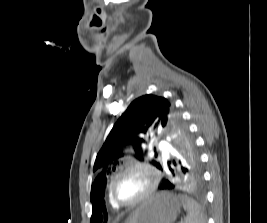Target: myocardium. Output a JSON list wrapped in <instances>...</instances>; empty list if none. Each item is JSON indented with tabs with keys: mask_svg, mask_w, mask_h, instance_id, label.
Wrapping results in <instances>:
<instances>
[{
	"mask_svg": "<svg viewBox=\"0 0 267 223\" xmlns=\"http://www.w3.org/2000/svg\"><path fill=\"white\" fill-rule=\"evenodd\" d=\"M134 169L141 170V171L145 172L150 178V183H149L147 189L144 191V193H142L135 200L129 201V202L120 201L116 197L115 192H114L115 183L120 176H122L126 172H128L130 170H134ZM159 181H160V173L154 166H152L151 164H149L147 162H143V161H130L126 166L121 168L119 171H117L112 176L110 183H109V196H110L112 202L116 206L121 207V208H132V207H135V206L145 202L146 200H148L157 190Z\"/></svg>",
	"mask_w": 267,
	"mask_h": 223,
	"instance_id": "myocardium-1",
	"label": "myocardium"
}]
</instances>
